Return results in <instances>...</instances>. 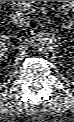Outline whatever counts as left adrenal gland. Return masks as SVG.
Returning a JSON list of instances; mask_svg holds the SVG:
<instances>
[{"label": "left adrenal gland", "mask_w": 74, "mask_h": 122, "mask_svg": "<svg viewBox=\"0 0 74 122\" xmlns=\"http://www.w3.org/2000/svg\"><path fill=\"white\" fill-rule=\"evenodd\" d=\"M62 27H63V28H67V26H66V25H64V24H63V26H62Z\"/></svg>", "instance_id": "a2214340"}]
</instances>
